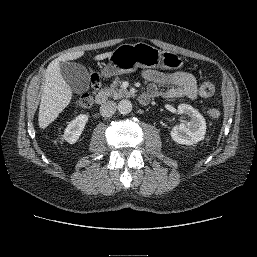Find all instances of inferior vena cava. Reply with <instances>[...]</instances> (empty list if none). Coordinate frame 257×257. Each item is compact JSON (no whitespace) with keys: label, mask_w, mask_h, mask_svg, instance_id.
Listing matches in <instances>:
<instances>
[{"label":"inferior vena cava","mask_w":257,"mask_h":257,"mask_svg":"<svg viewBox=\"0 0 257 257\" xmlns=\"http://www.w3.org/2000/svg\"><path fill=\"white\" fill-rule=\"evenodd\" d=\"M116 111V103L113 101H107L100 107V114L103 117H110L112 116Z\"/></svg>","instance_id":"1"}]
</instances>
